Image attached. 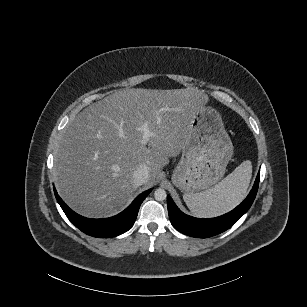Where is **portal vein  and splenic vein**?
Returning a JSON list of instances; mask_svg holds the SVG:
<instances>
[{
	"label": "portal vein and splenic vein",
	"instance_id": "obj_1",
	"mask_svg": "<svg viewBox=\"0 0 307 307\" xmlns=\"http://www.w3.org/2000/svg\"><path fill=\"white\" fill-rule=\"evenodd\" d=\"M163 112H165V109H160V110L156 111L155 118L157 119L158 122L161 121L160 114L163 113ZM140 130L143 132L142 138L140 140V145L145 146L148 143L150 136L154 135V133L150 132V130H149L148 120L143 121V123L140 126Z\"/></svg>",
	"mask_w": 307,
	"mask_h": 307
}]
</instances>
